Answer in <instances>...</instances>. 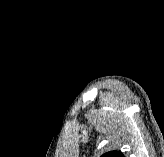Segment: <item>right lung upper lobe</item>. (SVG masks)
<instances>
[{
  "label": "right lung upper lobe",
  "instance_id": "right-lung-upper-lobe-1",
  "mask_svg": "<svg viewBox=\"0 0 164 157\" xmlns=\"http://www.w3.org/2000/svg\"><path fill=\"white\" fill-rule=\"evenodd\" d=\"M100 157H125L120 151H110Z\"/></svg>",
  "mask_w": 164,
  "mask_h": 157
}]
</instances>
